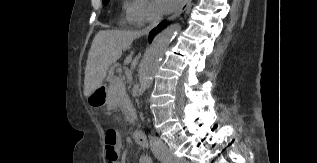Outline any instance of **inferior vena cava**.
I'll use <instances>...</instances> for the list:
<instances>
[{
  "label": "inferior vena cava",
  "instance_id": "1",
  "mask_svg": "<svg viewBox=\"0 0 317 163\" xmlns=\"http://www.w3.org/2000/svg\"><path fill=\"white\" fill-rule=\"evenodd\" d=\"M162 15L158 12H152L150 15V24L148 27L139 31L141 35L148 34L161 21ZM150 148L158 159H163L169 155L167 146L157 137L150 136Z\"/></svg>",
  "mask_w": 317,
  "mask_h": 163
}]
</instances>
